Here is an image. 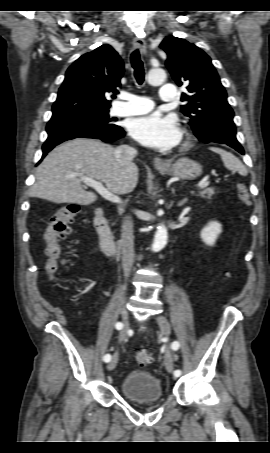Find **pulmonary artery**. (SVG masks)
I'll use <instances>...</instances> for the list:
<instances>
[{
	"mask_svg": "<svg viewBox=\"0 0 270 453\" xmlns=\"http://www.w3.org/2000/svg\"><path fill=\"white\" fill-rule=\"evenodd\" d=\"M176 88L172 84H166L160 87L159 95L162 100L172 101L175 98ZM126 103L123 106H119L115 109L117 116H132L143 114L150 111L153 108L151 100L139 97L134 94L127 93L124 96Z\"/></svg>",
	"mask_w": 270,
	"mask_h": 453,
	"instance_id": "e3ab8cb5",
	"label": "pulmonary artery"
}]
</instances>
